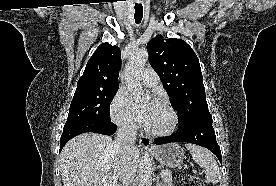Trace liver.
I'll return each mask as SVG.
<instances>
[{"label": "liver", "instance_id": "liver-1", "mask_svg": "<svg viewBox=\"0 0 276 186\" xmlns=\"http://www.w3.org/2000/svg\"><path fill=\"white\" fill-rule=\"evenodd\" d=\"M136 161L139 150L131 152ZM63 186H116L121 157L111 137L83 133L71 139L60 154Z\"/></svg>", "mask_w": 276, "mask_h": 186}]
</instances>
